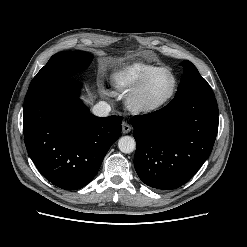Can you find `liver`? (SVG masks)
Instances as JSON below:
<instances>
[{
  "label": "liver",
  "instance_id": "1",
  "mask_svg": "<svg viewBox=\"0 0 247 247\" xmlns=\"http://www.w3.org/2000/svg\"><path fill=\"white\" fill-rule=\"evenodd\" d=\"M92 100H93V99H92V97L90 96V99H87L86 101H87L88 103H91Z\"/></svg>",
  "mask_w": 247,
  "mask_h": 247
}]
</instances>
